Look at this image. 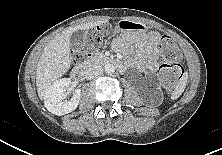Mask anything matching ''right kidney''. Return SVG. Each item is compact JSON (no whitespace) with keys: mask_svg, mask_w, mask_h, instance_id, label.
Returning <instances> with one entry per match:
<instances>
[{"mask_svg":"<svg viewBox=\"0 0 222 155\" xmlns=\"http://www.w3.org/2000/svg\"><path fill=\"white\" fill-rule=\"evenodd\" d=\"M71 80L69 78H62L55 81L47 90L46 99L44 101L46 109L57 116H62L74 111L80 102L81 89L74 90L70 101H66L65 94Z\"/></svg>","mask_w":222,"mask_h":155,"instance_id":"ca27d5eb","label":"right kidney"}]
</instances>
